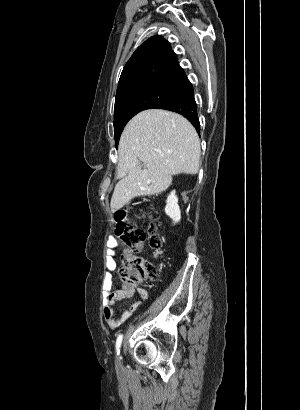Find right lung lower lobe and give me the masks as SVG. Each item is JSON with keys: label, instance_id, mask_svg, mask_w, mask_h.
Instances as JSON below:
<instances>
[{"label": "right lung lower lobe", "instance_id": "98d812e1", "mask_svg": "<svg viewBox=\"0 0 300 410\" xmlns=\"http://www.w3.org/2000/svg\"><path fill=\"white\" fill-rule=\"evenodd\" d=\"M159 109H166L183 115L192 123L198 132L200 131L197 105L194 99L193 87L190 82L187 88L176 99L161 106Z\"/></svg>", "mask_w": 300, "mask_h": 410}]
</instances>
